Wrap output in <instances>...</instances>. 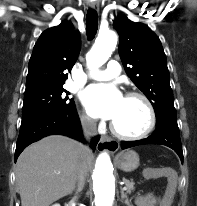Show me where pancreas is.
Returning a JSON list of instances; mask_svg holds the SVG:
<instances>
[{"mask_svg":"<svg viewBox=\"0 0 197 206\" xmlns=\"http://www.w3.org/2000/svg\"><path fill=\"white\" fill-rule=\"evenodd\" d=\"M124 183H125V187H126V192L128 194H131L132 191L135 190V183L132 180H128V179H123Z\"/></svg>","mask_w":197,"mask_h":206,"instance_id":"pancreas-1","label":"pancreas"}]
</instances>
